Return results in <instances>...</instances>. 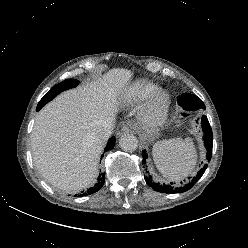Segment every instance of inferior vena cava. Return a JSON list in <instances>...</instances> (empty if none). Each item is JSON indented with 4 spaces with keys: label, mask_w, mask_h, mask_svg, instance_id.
Segmentation results:
<instances>
[{
    "label": "inferior vena cava",
    "mask_w": 248,
    "mask_h": 248,
    "mask_svg": "<svg viewBox=\"0 0 248 248\" xmlns=\"http://www.w3.org/2000/svg\"><path fill=\"white\" fill-rule=\"evenodd\" d=\"M115 120L113 118L106 119L102 125L98 126L93 132L95 142L104 143L111 136L114 129Z\"/></svg>",
    "instance_id": "1"
}]
</instances>
